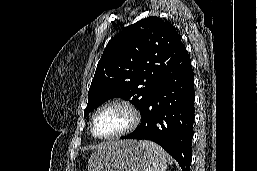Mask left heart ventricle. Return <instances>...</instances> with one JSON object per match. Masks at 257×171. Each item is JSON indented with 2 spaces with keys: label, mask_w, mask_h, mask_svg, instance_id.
<instances>
[{
  "label": "left heart ventricle",
  "mask_w": 257,
  "mask_h": 171,
  "mask_svg": "<svg viewBox=\"0 0 257 171\" xmlns=\"http://www.w3.org/2000/svg\"><path fill=\"white\" fill-rule=\"evenodd\" d=\"M131 116L122 107H109L102 110L95 118L94 130L97 135L115 134L129 125Z\"/></svg>",
  "instance_id": "b2bd125f"
}]
</instances>
